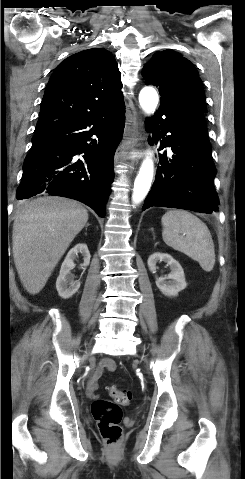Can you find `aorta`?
<instances>
[{
    "label": "aorta",
    "instance_id": "aorta-1",
    "mask_svg": "<svg viewBox=\"0 0 245 479\" xmlns=\"http://www.w3.org/2000/svg\"><path fill=\"white\" fill-rule=\"evenodd\" d=\"M158 101L159 97L154 88L145 87L141 90L139 94V103L146 113H153L157 107ZM153 172V161L151 158L147 157L143 161L134 182L132 194V201L134 204H139L148 194L153 179Z\"/></svg>",
    "mask_w": 245,
    "mask_h": 479
}]
</instances>
